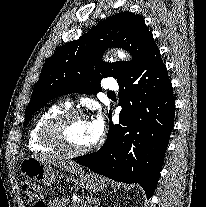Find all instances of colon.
<instances>
[{"mask_svg":"<svg viewBox=\"0 0 206 207\" xmlns=\"http://www.w3.org/2000/svg\"><path fill=\"white\" fill-rule=\"evenodd\" d=\"M23 191L28 202L32 203L33 207H46L45 202L38 194L37 186L31 181H23Z\"/></svg>","mask_w":206,"mask_h":207,"instance_id":"5ec220e1","label":"colon"}]
</instances>
